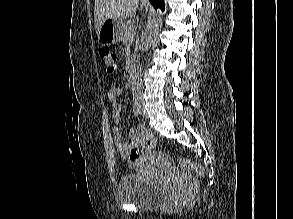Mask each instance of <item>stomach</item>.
Listing matches in <instances>:
<instances>
[{
  "instance_id": "obj_1",
  "label": "stomach",
  "mask_w": 293,
  "mask_h": 219,
  "mask_svg": "<svg viewBox=\"0 0 293 219\" xmlns=\"http://www.w3.org/2000/svg\"><path fill=\"white\" fill-rule=\"evenodd\" d=\"M146 10L147 5H142ZM124 22L120 18H109L102 24L97 37L98 42L103 46H110L118 43L122 39L124 33Z\"/></svg>"
}]
</instances>
